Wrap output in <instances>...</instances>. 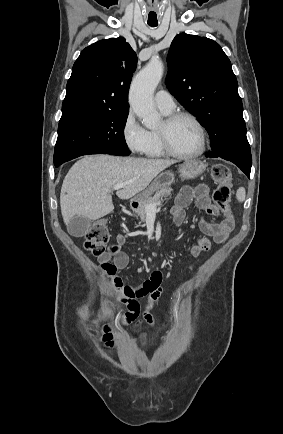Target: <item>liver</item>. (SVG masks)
I'll use <instances>...</instances> for the list:
<instances>
[{
    "label": "liver",
    "mask_w": 283,
    "mask_h": 434,
    "mask_svg": "<svg viewBox=\"0 0 283 434\" xmlns=\"http://www.w3.org/2000/svg\"><path fill=\"white\" fill-rule=\"evenodd\" d=\"M168 159L88 155L78 160L64 178L60 207L64 223L76 216L97 220L114 209L111 191L126 183L116 195L123 200L143 191L163 170L175 164Z\"/></svg>",
    "instance_id": "obj_1"
}]
</instances>
